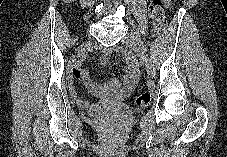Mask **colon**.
Wrapping results in <instances>:
<instances>
[{"instance_id":"obj_1","label":"colon","mask_w":227,"mask_h":157,"mask_svg":"<svg viewBox=\"0 0 227 157\" xmlns=\"http://www.w3.org/2000/svg\"><path fill=\"white\" fill-rule=\"evenodd\" d=\"M149 14L154 21V25L158 30H162L166 25L163 0H150ZM151 96L148 93L139 95L135 103L138 107H147L150 104Z\"/></svg>"}]
</instances>
